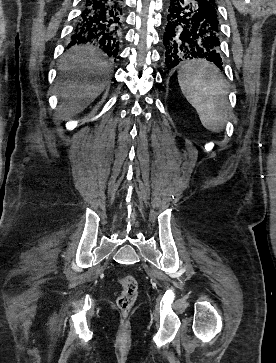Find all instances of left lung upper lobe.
I'll list each match as a JSON object with an SVG mask.
<instances>
[{"mask_svg": "<svg viewBox=\"0 0 276 363\" xmlns=\"http://www.w3.org/2000/svg\"><path fill=\"white\" fill-rule=\"evenodd\" d=\"M208 3H210L213 7L217 9V3L216 0H206Z\"/></svg>", "mask_w": 276, "mask_h": 363, "instance_id": "1", "label": "left lung upper lobe"}]
</instances>
